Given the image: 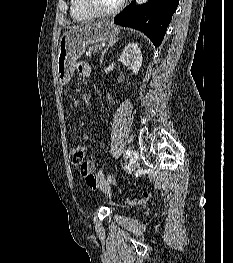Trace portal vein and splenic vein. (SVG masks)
<instances>
[{"label":"portal vein and splenic vein","mask_w":233,"mask_h":263,"mask_svg":"<svg viewBox=\"0 0 233 263\" xmlns=\"http://www.w3.org/2000/svg\"><path fill=\"white\" fill-rule=\"evenodd\" d=\"M86 55H87V56H91V52H87Z\"/></svg>","instance_id":"obj_1"}]
</instances>
